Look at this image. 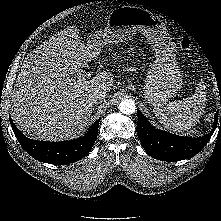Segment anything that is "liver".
Wrapping results in <instances>:
<instances>
[{"label": "liver", "instance_id": "1", "mask_svg": "<svg viewBox=\"0 0 221 221\" xmlns=\"http://www.w3.org/2000/svg\"><path fill=\"white\" fill-rule=\"evenodd\" d=\"M77 28L64 29L29 53L11 96V117L27 136L63 141L88 126L94 110L90 95L108 92L114 79L103 71L91 79L73 78L98 52L81 43Z\"/></svg>", "mask_w": 221, "mask_h": 221}]
</instances>
